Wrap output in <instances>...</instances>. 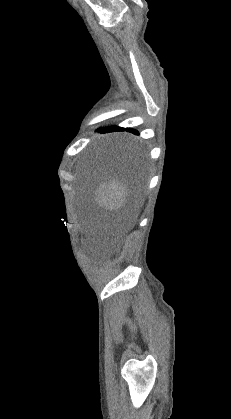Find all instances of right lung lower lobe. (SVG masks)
I'll return each instance as SVG.
<instances>
[{
  "label": "right lung lower lobe",
  "instance_id": "1",
  "mask_svg": "<svg viewBox=\"0 0 231 419\" xmlns=\"http://www.w3.org/2000/svg\"><path fill=\"white\" fill-rule=\"evenodd\" d=\"M124 130L135 133V134H138L136 130H133V129H130V128H121V127H118V126L107 127V128H103L102 130L99 129L98 131H100V132H114V131H124Z\"/></svg>",
  "mask_w": 231,
  "mask_h": 419
}]
</instances>
